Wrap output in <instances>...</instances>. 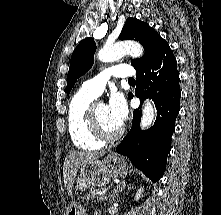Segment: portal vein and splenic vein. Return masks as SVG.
<instances>
[{"instance_id":"obj_1","label":"portal vein and splenic vein","mask_w":221,"mask_h":215,"mask_svg":"<svg viewBox=\"0 0 221 215\" xmlns=\"http://www.w3.org/2000/svg\"><path fill=\"white\" fill-rule=\"evenodd\" d=\"M99 199L105 200V199H107V197L106 196H100Z\"/></svg>"}]
</instances>
